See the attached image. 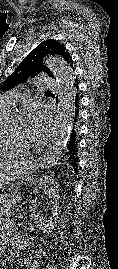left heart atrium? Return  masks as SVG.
<instances>
[{
    "mask_svg": "<svg viewBox=\"0 0 118 269\" xmlns=\"http://www.w3.org/2000/svg\"><path fill=\"white\" fill-rule=\"evenodd\" d=\"M25 122L27 133L34 139L43 137L50 129L51 117L44 104L32 101L26 106Z\"/></svg>",
    "mask_w": 118,
    "mask_h": 269,
    "instance_id": "1",
    "label": "left heart atrium"
}]
</instances>
